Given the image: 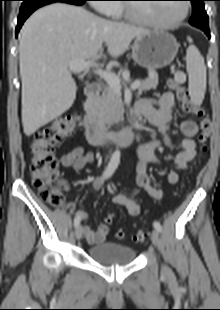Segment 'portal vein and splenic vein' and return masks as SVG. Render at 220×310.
I'll return each instance as SVG.
<instances>
[{
	"label": "portal vein and splenic vein",
	"mask_w": 220,
	"mask_h": 310,
	"mask_svg": "<svg viewBox=\"0 0 220 310\" xmlns=\"http://www.w3.org/2000/svg\"><path fill=\"white\" fill-rule=\"evenodd\" d=\"M100 55L101 53L92 59H88L87 61L71 62L69 65V69L74 73H80L84 70H87L92 64L95 63L96 59L100 57ZM94 73L97 74L99 77L103 78L113 91L121 93L120 79L114 73L107 72L99 68H96L94 70ZM140 84V80H137L131 84L130 88L132 90H136L139 88Z\"/></svg>",
	"instance_id": "1"
}]
</instances>
